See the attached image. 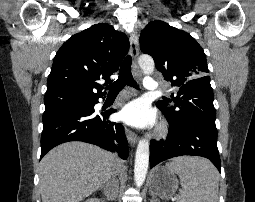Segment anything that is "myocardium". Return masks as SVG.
Segmentation results:
<instances>
[{"label":"myocardium","mask_w":255,"mask_h":202,"mask_svg":"<svg viewBox=\"0 0 255 202\" xmlns=\"http://www.w3.org/2000/svg\"><path fill=\"white\" fill-rule=\"evenodd\" d=\"M166 131H167V129H166V127L163 125V126H161V127L158 129V135L163 136V135L166 134Z\"/></svg>","instance_id":"myocardium-1"}]
</instances>
